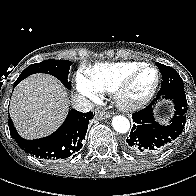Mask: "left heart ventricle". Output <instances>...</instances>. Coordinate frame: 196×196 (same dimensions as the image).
Segmentation results:
<instances>
[{"instance_id":"obj_1","label":"left heart ventricle","mask_w":196,"mask_h":196,"mask_svg":"<svg viewBox=\"0 0 196 196\" xmlns=\"http://www.w3.org/2000/svg\"><path fill=\"white\" fill-rule=\"evenodd\" d=\"M156 73L151 69L144 70L128 91L131 99H139L143 97L154 85Z\"/></svg>"}]
</instances>
